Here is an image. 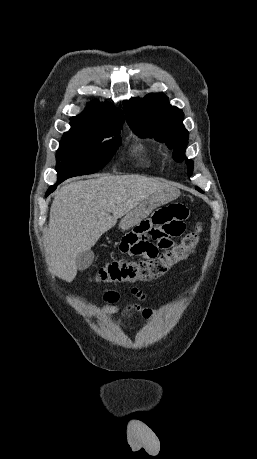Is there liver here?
<instances>
[{
  "label": "liver",
  "mask_w": 257,
  "mask_h": 459,
  "mask_svg": "<svg viewBox=\"0 0 257 459\" xmlns=\"http://www.w3.org/2000/svg\"><path fill=\"white\" fill-rule=\"evenodd\" d=\"M167 187L140 175L101 176L63 186L52 202L46 235L51 272L73 281L78 270L76 257L90 250L118 218Z\"/></svg>",
  "instance_id": "6515ba94"
}]
</instances>
